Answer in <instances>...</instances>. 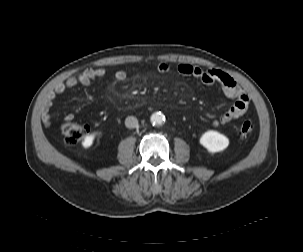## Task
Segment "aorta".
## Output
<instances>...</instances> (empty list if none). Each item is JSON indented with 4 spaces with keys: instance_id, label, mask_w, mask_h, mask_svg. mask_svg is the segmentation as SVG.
I'll use <instances>...</instances> for the list:
<instances>
[{
    "instance_id": "obj_1",
    "label": "aorta",
    "mask_w": 303,
    "mask_h": 252,
    "mask_svg": "<svg viewBox=\"0 0 303 252\" xmlns=\"http://www.w3.org/2000/svg\"><path fill=\"white\" fill-rule=\"evenodd\" d=\"M150 121L153 125L160 126L165 122V116L161 112H156L151 115Z\"/></svg>"
}]
</instances>
